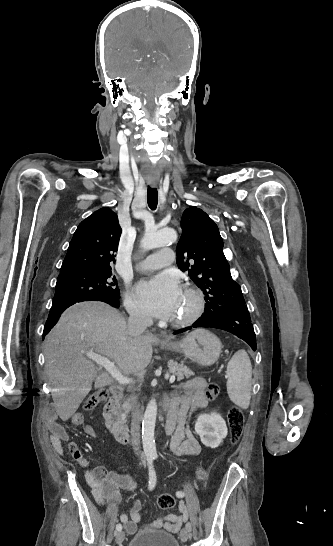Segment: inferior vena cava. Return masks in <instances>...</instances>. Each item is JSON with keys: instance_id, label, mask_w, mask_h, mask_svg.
Segmentation results:
<instances>
[{"instance_id": "inferior-vena-cava-1", "label": "inferior vena cava", "mask_w": 333, "mask_h": 546, "mask_svg": "<svg viewBox=\"0 0 333 546\" xmlns=\"http://www.w3.org/2000/svg\"><path fill=\"white\" fill-rule=\"evenodd\" d=\"M129 318H128V330L133 334L143 333L147 326L150 324L149 319L142 314L138 309L133 307L129 308ZM131 436H132V445L133 449L137 455H139L140 448V412L137 409H134L132 414L131 421Z\"/></svg>"}]
</instances>
